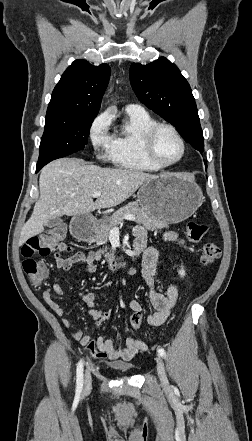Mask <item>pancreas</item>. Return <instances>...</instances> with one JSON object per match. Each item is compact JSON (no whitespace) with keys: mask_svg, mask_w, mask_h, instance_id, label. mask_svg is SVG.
<instances>
[{"mask_svg":"<svg viewBox=\"0 0 252 441\" xmlns=\"http://www.w3.org/2000/svg\"><path fill=\"white\" fill-rule=\"evenodd\" d=\"M128 214L135 216L137 218L136 222L142 224L148 230L154 231L169 228L168 223L148 216L145 210L140 207L138 203L132 202L114 212L110 217L101 223V225L98 227L95 241L98 242V244H105L108 241L111 229L114 226L121 224L124 220V216ZM107 249V246H105L101 252L102 254L105 253L104 257L109 262H112L115 259L114 254L113 252L108 253ZM98 258H100V256H98Z\"/></svg>","mask_w":252,"mask_h":441,"instance_id":"1","label":"pancreas"}]
</instances>
